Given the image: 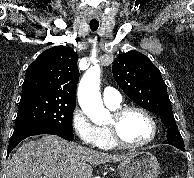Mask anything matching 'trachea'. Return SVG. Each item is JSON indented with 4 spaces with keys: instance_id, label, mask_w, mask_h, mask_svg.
<instances>
[{
    "instance_id": "obj_1",
    "label": "trachea",
    "mask_w": 194,
    "mask_h": 178,
    "mask_svg": "<svg viewBox=\"0 0 194 178\" xmlns=\"http://www.w3.org/2000/svg\"><path fill=\"white\" fill-rule=\"evenodd\" d=\"M99 27V23H90V29L96 31Z\"/></svg>"
}]
</instances>
